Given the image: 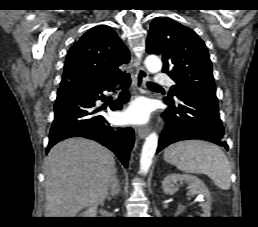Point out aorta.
I'll use <instances>...</instances> for the list:
<instances>
[{"label": "aorta", "instance_id": "obj_1", "mask_svg": "<svg viewBox=\"0 0 258 227\" xmlns=\"http://www.w3.org/2000/svg\"><path fill=\"white\" fill-rule=\"evenodd\" d=\"M144 63L147 70L151 73H157L162 68L161 60L155 55H149L145 59ZM157 145H158V136L155 132H152L146 138L142 147L141 158H140V172L142 174H146L149 171L153 161L154 154L157 149Z\"/></svg>", "mask_w": 258, "mask_h": 227}]
</instances>
